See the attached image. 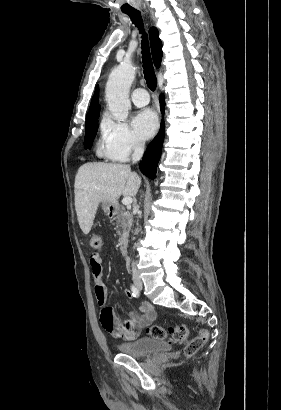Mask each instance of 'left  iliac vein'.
I'll list each match as a JSON object with an SVG mask.
<instances>
[{
	"label": "left iliac vein",
	"instance_id": "1",
	"mask_svg": "<svg viewBox=\"0 0 281 410\" xmlns=\"http://www.w3.org/2000/svg\"><path fill=\"white\" fill-rule=\"evenodd\" d=\"M137 286H138V289H139V290L142 289V284H141V283H138Z\"/></svg>",
	"mask_w": 281,
	"mask_h": 410
}]
</instances>
